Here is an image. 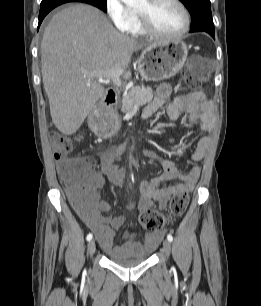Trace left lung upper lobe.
Here are the masks:
<instances>
[{
    "instance_id": "1",
    "label": "left lung upper lobe",
    "mask_w": 261,
    "mask_h": 306,
    "mask_svg": "<svg viewBox=\"0 0 261 306\" xmlns=\"http://www.w3.org/2000/svg\"><path fill=\"white\" fill-rule=\"evenodd\" d=\"M191 14V30H214L210 0H180Z\"/></svg>"
}]
</instances>
